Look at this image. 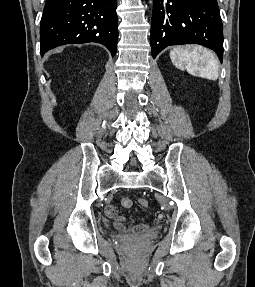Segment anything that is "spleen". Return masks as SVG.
I'll list each match as a JSON object with an SVG mask.
<instances>
[{"label":"spleen","mask_w":255,"mask_h":287,"mask_svg":"<svg viewBox=\"0 0 255 287\" xmlns=\"http://www.w3.org/2000/svg\"><path fill=\"white\" fill-rule=\"evenodd\" d=\"M170 58L174 66L192 70L198 78H206V80H217L218 78V62L206 48L177 46L171 50Z\"/></svg>","instance_id":"obj_1"}]
</instances>
